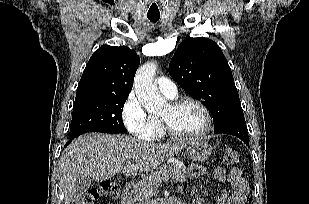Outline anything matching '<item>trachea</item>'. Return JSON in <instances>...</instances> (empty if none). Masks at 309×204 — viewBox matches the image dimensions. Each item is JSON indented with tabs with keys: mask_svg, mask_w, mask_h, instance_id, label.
<instances>
[{
	"mask_svg": "<svg viewBox=\"0 0 309 204\" xmlns=\"http://www.w3.org/2000/svg\"><path fill=\"white\" fill-rule=\"evenodd\" d=\"M148 19L151 22H157L160 19V16H148Z\"/></svg>",
	"mask_w": 309,
	"mask_h": 204,
	"instance_id": "trachea-1",
	"label": "trachea"
}]
</instances>
